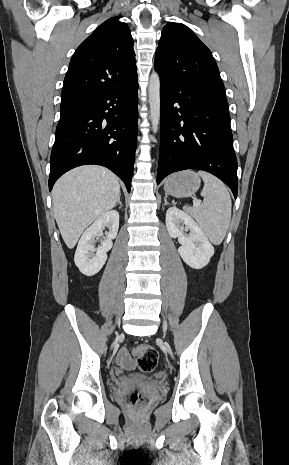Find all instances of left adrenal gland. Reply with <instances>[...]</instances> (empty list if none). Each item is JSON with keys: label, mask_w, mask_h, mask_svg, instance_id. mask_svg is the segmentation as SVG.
Wrapping results in <instances>:
<instances>
[{"label": "left adrenal gland", "mask_w": 289, "mask_h": 465, "mask_svg": "<svg viewBox=\"0 0 289 465\" xmlns=\"http://www.w3.org/2000/svg\"><path fill=\"white\" fill-rule=\"evenodd\" d=\"M168 202H167V196L164 197V205H167Z\"/></svg>", "instance_id": "1"}]
</instances>
